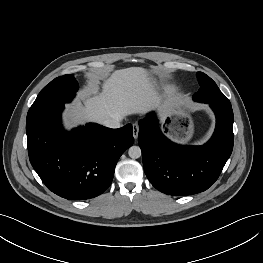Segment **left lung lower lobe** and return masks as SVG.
<instances>
[{
	"label": "left lung lower lobe",
	"instance_id": "obj_1",
	"mask_svg": "<svg viewBox=\"0 0 263 263\" xmlns=\"http://www.w3.org/2000/svg\"><path fill=\"white\" fill-rule=\"evenodd\" d=\"M208 104L216 115V128L202 146L171 142L160 131L154 113L139 121L144 171L159 191L172 196L192 195L207 190L219 177L233 149L234 116L231 104Z\"/></svg>",
	"mask_w": 263,
	"mask_h": 263
}]
</instances>
